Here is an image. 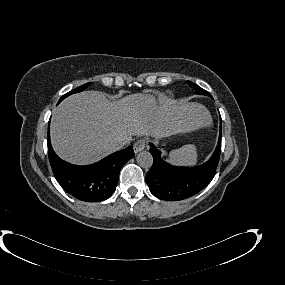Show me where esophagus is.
I'll list each match as a JSON object with an SVG mask.
<instances>
[{"mask_svg":"<svg viewBox=\"0 0 285 285\" xmlns=\"http://www.w3.org/2000/svg\"><path fill=\"white\" fill-rule=\"evenodd\" d=\"M146 147H147L146 139L138 140L133 146L135 153H139L140 151L144 150Z\"/></svg>","mask_w":285,"mask_h":285,"instance_id":"1","label":"esophagus"}]
</instances>
